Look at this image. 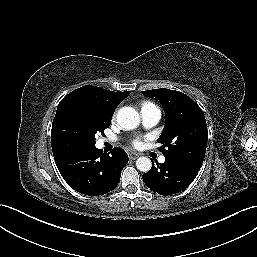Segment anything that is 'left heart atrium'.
Returning <instances> with one entry per match:
<instances>
[{
  "label": "left heart atrium",
  "instance_id": "1",
  "mask_svg": "<svg viewBox=\"0 0 257 257\" xmlns=\"http://www.w3.org/2000/svg\"><path fill=\"white\" fill-rule=\"evenodd\" d=\"M141 144H142V141H141V139H139V138H137V139H135V140L133 141V145H134L135 147H139Z\"/></svg>",
  "mask_w": 257,
  "mask_h": 257
}]
</instances>
